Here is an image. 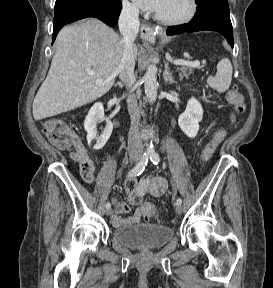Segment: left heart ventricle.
Masks as SVG:
<instances>
[{"label": "left heart ventricle", "instance_id": "left-heart-ventricle-1", "mask_svg": "<svg viewBox=\"0 0 273 288\" xmlns=\"http://www.w3.org/2000/svg\"><path fill=\"white\" fill-rule=\"evenodd\" d=\"M189 0H164L157 14L165 18H179L189 11Z\"/></svg>", "mask_w": 273, "mask_h": 288}]
</instances>
